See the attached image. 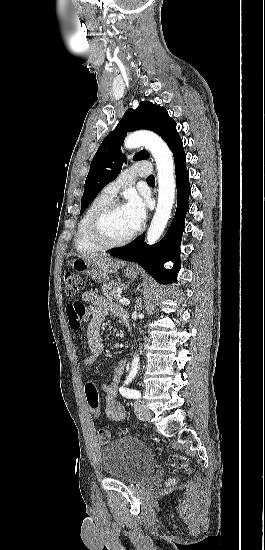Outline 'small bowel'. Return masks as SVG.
Returning <instances> with one entry per match:
<instances>
[{
  "label": "small bowel",
  "instance_id": "c3829d8e",
  "mask_svg": "<svg viewBox=\"0 0 265 550\" xmlns=\"http://www.w3.org/2000/svg\"><path fill=\"white\" fill-rule=\"evenodd\" d=\"M84 302H89L91 305L86 308L84 305V311L81 318V322L87 324L86 339L88 349L81 357V363L83 365H92L95 360L104 355V344L101 340V327L104 318L107 315H114L119 317L123 321H127V313L119 305L110 302L106 298L96 294L92 291H87L82 295ZM80 306L74 302L67 306L68 320L76 318L79 314ZM72 328L74 330L73 337L77 340L80 336L79 327ZM127 366V360L121 359L114 367L112 378L108 382L102 384V389L105 393V415L112 421H123L126 417V411L122 404L117 400L118 391L120 389L121 380ZM96 416V415H95Z\"/></svg>",
  "mask_w": 265,
  "mask_h": 550
}]
</instances>
